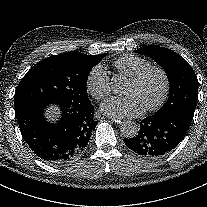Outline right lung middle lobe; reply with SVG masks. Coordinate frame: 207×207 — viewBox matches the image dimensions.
Listing matches in <instances>:
<instances>
[{
	"mask_svg": "<svg viewBox=\"0 0 207 207\" xmlns=\"http://www.w3.org/2000/svg\"><path fill=\"white\" fill-rule=\"evenodd\" d=\"M97 63L69 52L41 60L26 73L16 89L15 115L50 103L76 106L90 102L87 79Z\"/></svg>",
	"mask_w": 207,
	"mask_h": 207,
	"instance_id": "1",
	"label": "right lung middle lobe"
}]
</instances>
